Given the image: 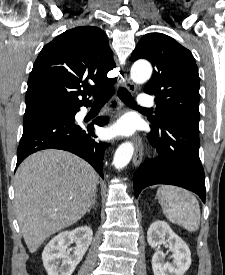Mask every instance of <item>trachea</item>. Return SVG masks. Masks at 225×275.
<instances>
[{"label":"trachea","instance_id":"1","mask_svg":"<svg viewBox=\"0 0 225 275\" xmlns=\"http://www.w3.org/2000/svg\"><path fill=\"white\" fill-rule=\"evenodd\" d=\"M114 94V89L112 88H106L104 90L94 92L93 97H94V104L95 105H104L109 101L111 96ZM119 98L129 107L135 108V109H146L138 106L136 102L134 101L133 97L129 93V91L124 88L120 87L117 92Z\"/></svg>","mask_w":225,"mask_h":275}]
</instances>
